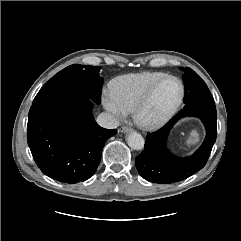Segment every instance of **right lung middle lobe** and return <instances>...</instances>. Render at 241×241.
<instances>
[{
	"label": "right lung middle lobe",
	"instance_id": "dd1d6c3e",
	"mask_svg": "<svg viewBox=\"0 0 241 241\" xmlns=\"http://www.w3.org/2000/svg\"><path fill=\"white\" fill-rule=\"evenodd\" d=\"M99 66L70 65L46 82L36 95L32 105L70 98L86 97L96 103L101 101L103 78Z\"/></svg>",
	"mask_w": 241,
	"mask_h": 241
}]
</instances>
